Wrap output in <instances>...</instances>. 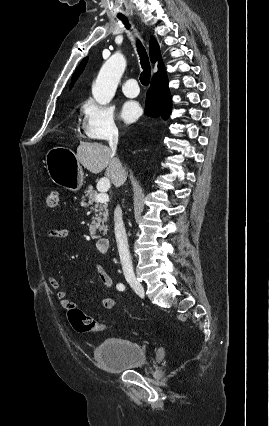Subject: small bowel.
Segmentation results:
<instances>
[{"label": "small bowel", "instance_id": "small-bowel-1", "mask_svg": "<svg viewBox=\"0 0 269 426\" xmlns=\"http://www.w3.org/2000/svg\"><path fill=\"white\" fill-rule=\"evenodd\" d=\"M67 235V228L64 226H58L46 232L44 242L54 239H63ZM96 272L104 288L109 293H111L114 288V281L112 277L106 272L102 265L96 266ZM48 282L50 286L55 290L56 299L58 300L62 308L67 310L76 305L73 301L68 299L66 292L60 289L59 281L54 276L49 275ZM114 305L115 301L111 296H107L100 299V306L104 309H112Z\"/></svg>", "mask_w": 269, "mask_h": 426}]
</instances>
